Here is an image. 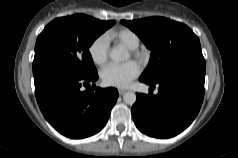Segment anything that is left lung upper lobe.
<instances>
[{
	"label": "left lung upper lobe",
	"instance_id": "1",
	"mask_svg": "<svg viewBox=\"0 0 238 158\" xmlns=\"http://www.w3.org/2000/svg\"><path fill=\"white\" fill-rule=\"evenodd\" d=\"M152 51L139 80L154 83L165 73L191 63H205L199 38L186 25L164 17L122 20Z\"/></svg>",
	"mask_w": 238,
	"mask_h": 158
}]
</instances>
